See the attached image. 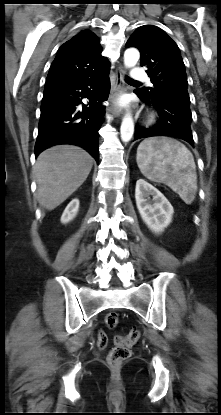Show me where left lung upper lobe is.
<instances>
[{
  "mask_svg": "<svg viewBox=\"0 0 221 415\" xmlns=\"http://www.w3.org/2000/svg\"><path fill=\"white\" fill-rule=\"evenodd\" d=\"M141 53V66L147 68L153 87L139 89L150 98L189 99L185 65L177 44L160 28L144 25L137 28L126 43Z\"/></svg>",
  "mask_w": 221,
  "mask_h": 415,
  "instance_id": "left-lung-upper-lobe-1",
  "label": "left lung upper lobe"
}]
</instances>
